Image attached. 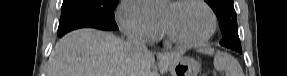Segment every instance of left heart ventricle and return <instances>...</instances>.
Instances as JSON below:
<instances>
[{
	"label": "left heart ventricle",
	"mask_w": 287,
	"mask_h": 76,
	"mask_svg": "<svg viewBox=\"0 0 287 76\" xmlns=\"http://www.w3.org/2000/svg\"><path fill=\"white\" fill-rule=\"evenodd\" d=\"M164 20L172 32L184 40H196L206 34L210 25L207 11L195 3H186L178 7L168 4L162 11Z\"/></svg>",
	"instance_id": "1"
}]
</instances>
